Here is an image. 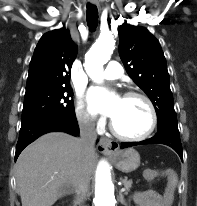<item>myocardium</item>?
Segmentation results:
<instances>
[{
  "label": "myocardium",
  "mask_w": 197,
  "mask_h": 206,
  "mask_svg": "<svg viewBox=\"0 0 197 206\" xmlns=\"http://www.w3.org/2000/svg\"><path fill=\"white\" fill-rule=\"evenodd\" d=\"M130 97L139 98L143 100L145 104L147 105L149 112H150V125L148 129L140 135H127V134L120 132L116 128L112 119L109 123V127H110L111 132L119 139L130 140V141H141V140L148 138L155 131L157 127V123H158V115H157V111H156V108L152 100L147 95L141 92H138V91H127L123 94L122 98H130Z\"/></svg>",
  "instance_id": "myocardium-1"
}]
</instances>
